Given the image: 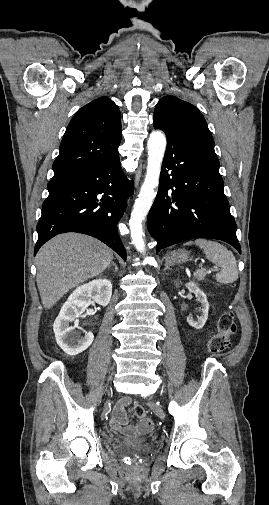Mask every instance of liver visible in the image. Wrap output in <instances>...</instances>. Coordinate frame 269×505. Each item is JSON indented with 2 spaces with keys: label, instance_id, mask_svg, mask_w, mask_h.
<instances>
[{
  "label": "liver",
  "instance_id": "liver-1",
  "mask_svg": "<svg viewBox=\"0 0 269 505\" xmlns=\"http://www.w3.org/2000/svg\"><path fill=\"white\" fill-rule=\"evenodd\" d=\"M113 251L99 240L64 233L44 244L37 256V286L45 309L70 289L101 274L112 262Z\"/></svg>",
  "mask_w": 269,
  "mask_h": 505
}]
</instances>
